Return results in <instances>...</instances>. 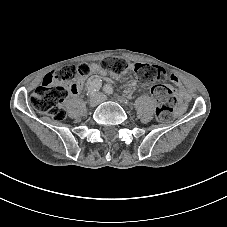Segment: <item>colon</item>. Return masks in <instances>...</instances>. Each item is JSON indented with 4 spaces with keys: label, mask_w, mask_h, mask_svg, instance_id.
I'll use <instances>...</instances> for the list:
<instances>
[{
    "label": "colon",
    "mask_w": 227,
    "mask_h": 227,
    "mask_svg": "<svg viewBox=\"0 0 227 227\" xmlns=\"http://www.w3.org/2000/svg\"><path fill=\"white\" fill-rule=\"evenodd\" d=\"M102 67L116 76L131 70L141 80L147 82L162 80L167 76L166 70L161 66L147 63L130 64L122 58L105 60L102 62ZM90 72L91 65L88 63L65 65L52 71L32 93L31 106L56 121L63 120L65 118L63 100L69 93L76 92L81 79ZM151 93L156 102V118L161 122L170 121L177 102L174 89L167 85L156 84L152 86Z\"/></svg>",
    "instance_id": "5ec220e1"
}]
</instances>
